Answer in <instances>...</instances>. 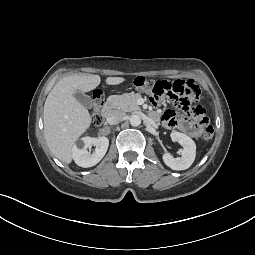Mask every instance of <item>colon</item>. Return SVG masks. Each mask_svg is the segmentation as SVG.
<instances>
[{"label":"colon","mask_w":255,"mask_h":255,"mask_svg":"<svg viewBox=\"0 0 255 255\" xmlns=\"http://www.w3.org/2000/svg\"><path fill=\"white\" fill-rule=\"evenodd\" d=\"M132 85L141 91L149 93L154 103H158L162 98H169L183 112L205 127L204 140L209 141L213 138L214 129L208 123L205 110L201 106L194 105V102L200 96V88L193 80H188L187 82L182 80L154 82L144 76H137L134 78ZM102 105L103 96L101 91L97 90L94 93L91 115V122L95 126L103 123V116L101 114Z\"/></svg>","instance_id":"obj_1"}]
</instances>
